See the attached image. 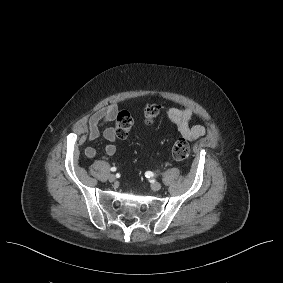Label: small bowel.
Wrapping results in <instances>:
<instances>
[{
    "instance_id": "c3829d8e",
    "label": "small bowel",
    "mask_w": 283,
    "mask_h": 283,
    "mask_svg": "<svg viewBox=\"0 0 283 283\" xmlns=\"http://www.w3.org/2000/svg\"><path fill=\"white\" fill-rule=\"evenodd\" d=\"M118 113L115 105H107L96 111L88 120V139L94 141L100 137L107 140L104 151L107 155L112 156L116 153L117 148L114 144L117 136L113 127H104L107 123L113 121ZM193 111L189 107H171L167 110V117L175 125L180 135L189 141H194L207 133V129L203 125H190ZM84 127H80L83 130ZM85 156L93 159L97 156V150L94 147L85 149Z\"/></svg>"
}]
</instances>
